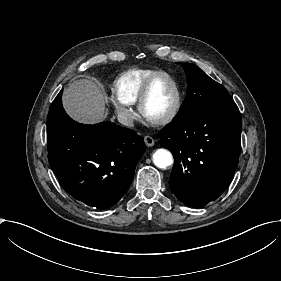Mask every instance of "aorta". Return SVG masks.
I'll list each match as a JSON object with an SVG mask.
<instances>
[{"label":"aorta","instance_id":"1","mask_svg":"<svg viewBox=\"0 0 281 281\" xmlns=\"http://www.w3.org/2000/svg\"><path fill=\"white\" fill-rule=\"evenodd\" d=\"M152 158L154 165L161 169H166L168 166L173 164V156L167 149H157L153 153Z\"/></svg>","mask_w":281,"mask_h":281}]
</instances>
